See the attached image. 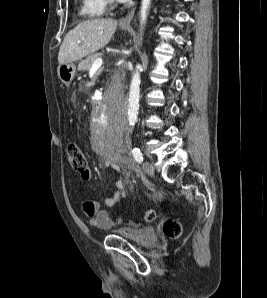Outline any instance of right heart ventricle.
I'll return each instance as SVG.
<instances>
[{
    "instance_id": "obj_1",
    "label": "right heart ventricle",
    "mask_w": 267,
    "mask_h": 298,
    "mask_svg": "<svg viewBox=\"0 0 267 298\" xmlns=\"http://www.w3.org/2000/svg\"><path fill=\"white\" fill-rule=\"evenodd\" d=\"M106 3L104 0H80L79 14L83 18L96 19L105 14Z\"/></svg>"
}]
</instances>
